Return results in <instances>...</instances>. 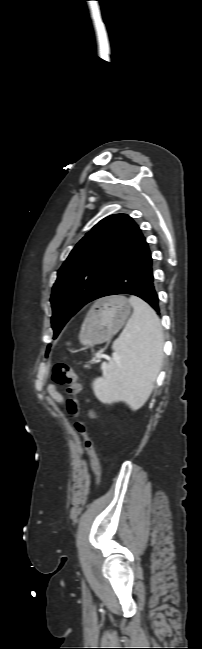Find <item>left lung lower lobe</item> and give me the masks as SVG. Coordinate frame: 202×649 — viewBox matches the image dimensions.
<instances>
[{
	"instance_id": "left-lung-lower-lobe-1",
	"label": "left lung lower lobe",
	"mask_w": 202,
	"mask_h": 649,
	"mask_svg": "<svg viewBox=\"0 0 202 649\" xmlns=\"http://www.w3.org/2000/svg\"><path fill=\"white\" fill-rule=\"evenodd\" d=\"M117 294L138 296L160 315L159 299L154 287L153 260L141 231L100 285L93 300ZM50 346L48 345L46 353Z\"/></svg>"
}]
</instances>
